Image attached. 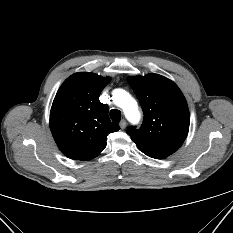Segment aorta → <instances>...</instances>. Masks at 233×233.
<instances>
[{
    "label": "aorta",
    "instance_id": "762f6f07",
    "mask_svg": "<svg viewBox=\"0 0 233 233\" xmlns=\"http://www.w3.org/2000/svg\"><path fill=\"white\" fill-rule=\"evenodd\" d=\"M113 101L121 107L126 118L133 124H136L140 119L137 102L131 95L123 89H115L113 91Z\"/></svg>",
    "mask_w": 233,
    "mask_h": 233
}]
</instances>
